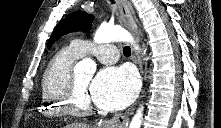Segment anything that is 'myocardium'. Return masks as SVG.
Segmentation results:
<instances>
[{
  "label": "myocardium",
  "instance_id": "myocardium-1",
  "mask_svg": "<svg viewBox=\"0 0 221 128\" xmlns=\"http://www.w3.org/2000/svg\"><path fill=\"white\" fill-rule=\"evenodd\" d=\"M64 108L68 114L76 116L88 115L93 110L91 101L83 98L75 76L68 85Z\"/></svg>",
  "mask_w": 221,
  "mask_h": 128
}]
</instances>
